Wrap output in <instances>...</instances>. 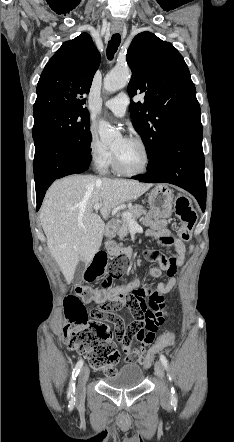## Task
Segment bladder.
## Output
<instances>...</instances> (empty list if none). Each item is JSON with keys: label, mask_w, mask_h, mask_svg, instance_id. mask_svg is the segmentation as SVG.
<instances>
[{"label": "bladder", "mask_w": 234, "mask_h": 442, "mask_svg": "<svg viewBox=\"0 0 234 442\" xmlns=\"http://www.w3.org/2000/svg\"><path fill=\"white\" fill-rule=\"evenodd\" d=\"M143 379L142 368L136 364H128L123 366L116 375L105 377L104 382L112 388L129 389L140 385Z\"/></svg>", "instance_id": "bladder-1"}]
</instances>
